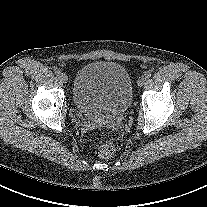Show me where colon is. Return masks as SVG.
Masks as SVG:
<instances>
[{
	"label": "colon",
	"mask_w": 207,
	"mask_h": 207,
	"mask_svg": "<svg viewBox=\"0 0 207 207\" xmlns=\"http://www.w3.org/2000/svg\"><path fill=\"white\" fill-rule=\"evenodd\" d=\"M98 155L102 158H110L115 152V145L111 141L98 143L96 146Z\"/></svg>",
	"instance_id": "obj_1"
}]
</instances>
